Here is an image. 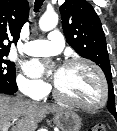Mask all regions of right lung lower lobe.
Masks as SVG:
<instances>
[{
  "mask_svg": "<svg viewBox=\"0 0 117 131\" xmlns=\"http://www.w3.org/2000/svg\"><path fill=\"white\" fill-rule=\"evenodd\" d=\"M0 93L13 94V93H15V92H10V91H7V90H5V89L0 88Z\"/></svg>",
  "mask_w": 117,
  "mask_h": 131,
  "instance_id": "1",
  "label": "right lung lower lobe"
}]
</instances>
